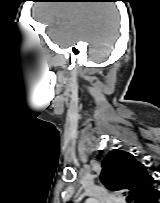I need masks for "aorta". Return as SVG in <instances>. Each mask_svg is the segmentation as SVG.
<instances>
[{"mask_svg": "<svg viewBox=\"0 0 160 203\" xmlns=\"http://www.w3.org/2000/svg\"><path fill=\"white\" fill-rule=\"evenodd\" d=\"M86 203H97V201L95 200V199H88L87 201H86Z\"/></svg>", "mask_w": 160, "mask_h": 203, "instance_id": "762f6f07", "label": "aorta"}]
</instances>
